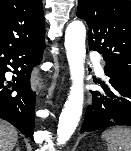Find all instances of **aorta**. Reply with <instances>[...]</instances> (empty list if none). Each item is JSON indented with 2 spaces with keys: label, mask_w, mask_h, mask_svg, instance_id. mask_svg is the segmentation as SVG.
<instances>
[{
  "label": "aorta",
  "mask_w": 131,
  "mask_h": 151,
  "mask_svg": "<svg viewBox=\"0 0 131 151\" xmlns=\"http://www.w3.org/2000/svg\"><path fill=\"white\" fill-rule=\"evenodd\" d=\"M85 37L86 29L82 22L73 21L68 25L65 32V48L72 85L59 117L57 129V145L59 146L65 144L73 135L82 114Z\"/></svg>",
  "instance_id": "1"
}]
</instances>
